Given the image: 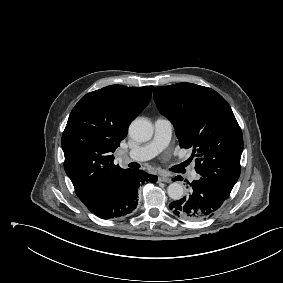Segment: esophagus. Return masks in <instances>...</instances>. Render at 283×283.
Instances as JSON below:
<instances>
[{
    "label": "esophagus",
    "instance_id": "1",
    "mask_svg": "<svg viewBox=\"0 0 283 283\" xmlns=\"http://www.w3.org/2000/svg\"><path fill=\"white\" fill-rule=\"evenodd\" d=\"M159 181L165 182V183H170L171 182V178H169L167 176H164V175H161V176H159Z\"/></svg>",
    "mask_w": 283,
    "mask_h": 283
}]
</instances>
